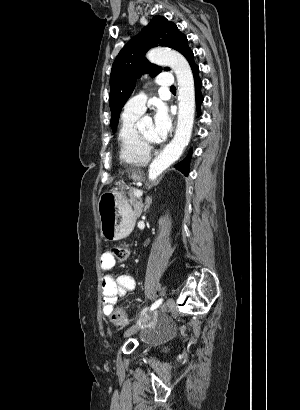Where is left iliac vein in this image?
<instances>
[{"label": "left iliac vein", "mask_w": 300, "mask_h": 410, "mask_svg": "<svg viewBox=\"0 0 300 410\" xmlns=\"http://www.w3.org/2000/svg\"><path fill=\"white\" fill-rule=\"evenodd\" d=\"M174 307H175V301H174V299L169 298V299L161 306L159 313L169 312V311H171ZM156 315H158V312H155L153 316H156ZM151 317H152V316L146 317L145 319H143V320L139 321L138 323H136L135 325L131 326L130 328H128V329L125 331V334H124V335H125L126 337L132 335L133 333H135V332L138 330L139 326H140L145 320H147L148 318H151Z\"/></svg>", "instance_id": "left-iliac-vein-1"}]
</instances>
